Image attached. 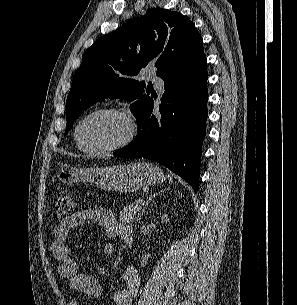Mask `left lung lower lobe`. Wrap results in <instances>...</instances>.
Returning <instances> with one entry per match:
<instances>
[{
  "label": "left lung lower lobe",
  "mask_w": 297,
  "mask_h": 305,
  "mask_svg": "<svg viewBox=\"0 0 297 305\" xmlns=\"http://www.w3.org/2000/svg\"><path fill=\"white\" fill-rule=\"evenodd\" d=\"M207 69H178L164 80L160 116L151 99L137 122L134 140L116 157L147 158L169 168L197 191L207 119Z\"/></svg>",
  "instance_id": "obj_1"
}]
</instances>
